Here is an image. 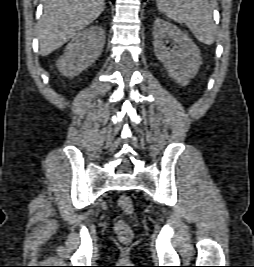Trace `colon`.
<instances>
[{
	"label": "colon",
	"instance_id": "5ec220e1",
	"mask_svg": "<svg viewBox=\"0 0 254 267\" xmlns=\"http://www.w3.org/2000/svg\"><path fill=\"white\" fill-rule=\"evenodd\" d=\"M119 208L128 215L133 214V202L129 196H121L118 201ZM114 230L123 243H129L134 237V233L130 225L125 220H118L114 225Z\"/></svg>",
	"mask_w": 254,
	"mask_h": 267
}]
</instances>
